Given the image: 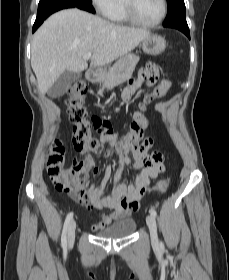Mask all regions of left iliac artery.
<instances>
[{
  "label": "left iliac artery",
  "instance_id": "obj_1",
  "mask_svg": "<svg viewBox=\"0 0 229 280\" xmlns=\"http://www.w3.org/2000/svg\"><path fill=\"white\" fill-rule=\"evenodd\" d=\"M150 214L153 215L154 217H156L157 215V212L155 210V208L151 207L150 210H149Z\"/></svg>",
  "mask_w": 229,
  "mask_h": 280
}]
</instances>
